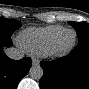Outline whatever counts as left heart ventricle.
Returning a JSON list of instances; mask_svg holds the SVG:
<instances>
[{"mask_svg": "<svg viewBox=\"0 0 89 89\" xmlns=\"http://www.w3.org/2000/svg\"><path fill=\"white\" fill-rule=\"evenodd\" d=\"M72 39V35L70 33L62 34L56 42L57 47H63L67 45Z\"/></svg>", "mask_w": 89, "mask_h": 89, "instance_id": "left-heart-ventricle-1", "label": "left heart ventricle"}]
</instances>
